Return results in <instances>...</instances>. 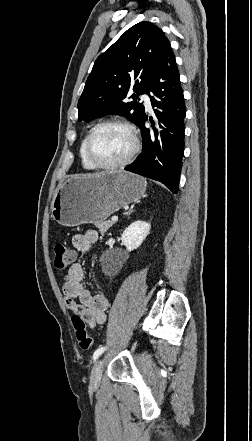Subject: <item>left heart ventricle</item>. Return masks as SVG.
<instances>
[{
    "label": "left heart ventricle",
    "instance_id": "b2bd125f",
    "mask_svg": "<svg viewBox=\"0 0 252 441\" xmlns=\"http://www.w3.org/2000/svg\"><path fill=\"white\" fill-rule=\"evenodd\" d=\"M132 146L128 131L120 126H104L93 136L90 144L92 157L100 163L123 159Z\"/></svg>",
    "mask_w": 252,
    "mask_h": 441
}]
</instances>
